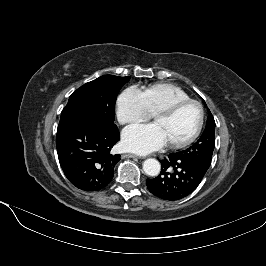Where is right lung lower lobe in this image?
Returning <instances> with one entry per match:
<instances>
[{"instance_id": "98d812e1", "label": "right lung lower lobe", "mask_w": 266, "mask_h": 266, "mask_svg": "<svg viewBox=\"0 0 266 266\" xmlns=\"http://www.w3.org/2000/svg\"><path fill=\"white\" fill-rule=\"evenodd\" d=\"M117 126L65 121L59 123L56 147L61 168L78 189L92 192L105 188L112 180L120 155L111 148L119 141Z\"/></svg>"}]
</instances>
